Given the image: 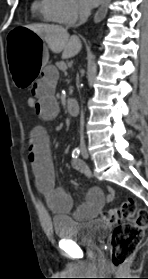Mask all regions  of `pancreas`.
Masks as SVG:
<instances>
[{
  "mask_svg": "<svg viewBox=\"0 0 148 279\" xmlns=\"http://www.w3.org/2000/svg\"><path fill=\"white\" fill-rule=\"evenodd\" d=\"M56 65H57V67H58L59 69H61V70H63V68H66V65H65L64 62H58V63H56ZM63 71L65 72L66 69L63 70Z\"/></svg>",
  "mask_w": 148,
  "mask_h": 279,
  "instance_id": "1",
  "label": "pancreas"
}]
</instances>
